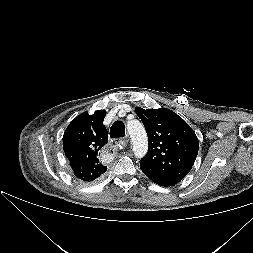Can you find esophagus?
<instances>
[{
	"mask_svg": "<svg viewBox=\"0 0 253 253\" xmlns=\"http://www.w3.org/2000/svg\"><path fill=\"white\" fill-rule=\"evenodd\" d=\"M129 141H130L129 135H126L123 142L124 143H128Z\"/></svg>",
	"mask_w": 253,
	"mask_h": 253,
	"instance_id": "esophagus-1",
	"label": "esophagus"
}]
</instances>
